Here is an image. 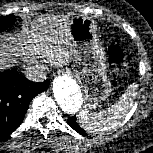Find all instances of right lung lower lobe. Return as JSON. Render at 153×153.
I'll return each instance as SVG.
<instances>
[{
  "instance_id": "obj_1",
  "label": "right lung lower lobe",
  "mask_w": 153,
  "mask_h": 153,
  "mask_svg": "<svg viewBox=\"0 0 153 153\" xmlns=\"http://www.w3.org/2000/svg\"><path fill=\"white\" fill-rule=\"evenodd\" d=\"M48 87L49 80L35 83L14 70L0 72V138L9 136L19 127L30 101Z\"/></svg>"
}]
</instances>
